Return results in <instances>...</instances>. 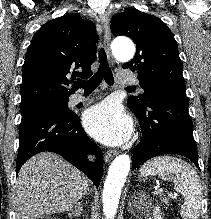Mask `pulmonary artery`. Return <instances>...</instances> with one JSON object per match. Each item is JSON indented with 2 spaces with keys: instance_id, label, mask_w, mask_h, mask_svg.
<instances>
[{
  "instance_id": "1",
  "label": "pulmonary artery",
  "mask_w": 211,
  "mask_h": 219,
  "mask_svg": "<svg viewBox=\"0 0 211 219\" xmlns=\"http://www.w3.org/2000/svg\"><path fill=\"white\" fill-rule=\"evenodd\" d=\"M118 81L122 84H137V79L131 75L128 71H122L118 73ZM86 98L80 94H74L70 97V104L76 105L82 101H85Z\"/></svg>"
}]
</instances>
